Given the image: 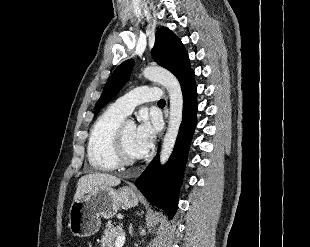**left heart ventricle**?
Listing matches in <instances>:
<instances>
[{"label":"left heart ventricle","mask_w":310,"mask_h":247,"mask_svg":"<svg viewBox=\"0 0 310 247\" xmlns=\"http://www.w3.org/2000/svg\"><path fill=\"white\" fill-rule=\"evenodd\" d=\"M136 128L132 124H126L124 128V141L127 153L132 156L136 157L133 146H134V137H135Z\"/></svg>","instance_id":"b2bd125f"}]
</instances>
